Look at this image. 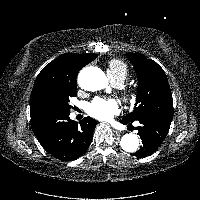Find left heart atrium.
Segmentation results:
<instances>
[{"mask_svg":"<svg viewBox=\"0 0 200 200\" xmlns=\"http://www.w3.org/2000/svg\"><path fill=\"white\" fill-rule=\"evenodd\" d=\"M87 113L102 121H109L119 113V105L112 98H95L87 107Z\"/></svg>","mask_w":200,"mask_h":200,"instance_id":"left-heart-atrium-1","label":"left heart atrium"}]
</instances>
